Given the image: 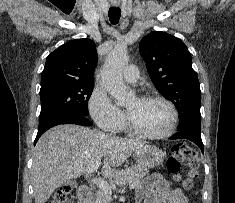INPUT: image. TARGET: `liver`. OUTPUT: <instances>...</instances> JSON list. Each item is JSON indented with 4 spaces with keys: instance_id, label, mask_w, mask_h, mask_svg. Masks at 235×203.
<instances>
[{
    "instance_id": "obj_1",
    "label": "liver",
    "mask_w": 235,
    "mask_h": 203,
    "mask_svg": "<svg viewBox=\"0 0 235 203\" xmlns=\"http://www.w3.org/2000/svg\"><path fill=\"white\" fill-rule=\"evenodd\" d=\"M144 145L138 139L119 138L73 124L51 128L34 148L31 173L35 203H45L61 184L85 174L102 158L103 176H116V167Z\"/></svg>"
}]
</instances>
